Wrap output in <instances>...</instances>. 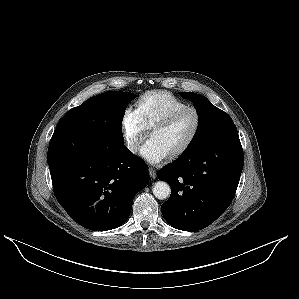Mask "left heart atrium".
I'll list each match as a JSON object with an SVG mask.
<instances>
[{
  "instance_id": "1",
  "label": "left heart atrium",
  "mask_w": 299,
  "mask_h": 299,
  "mask_svg": "<svg viewBox=\"0 0 299 299\" xmlns=\"http://www.w3.org/2000/svg\"><path fill=\"white\" fill-rule=\"evenodd\" d=\"M168 152L155 139L150 138L141 148V156L150 163H158L168 157Z\"/></svg>"
}]
</instances>
